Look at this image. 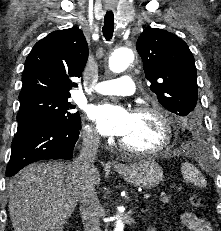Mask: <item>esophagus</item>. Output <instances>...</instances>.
Wrapping results in <instances>:
<instances>
[{"mask_svg": "<svg viewBox=\"0 0 221 231\" xmlns=\"http://www.w3.org/2000/svg\"><path fill=\"white\" fill-rule=\"evenodd\" d=\"M114 165H118L116 162L113 163Z\"/></svg>", "mask_w": 221, "mask_h": 231, "instance_id": "obj_1", "label": "esophagus"}]
</instances>
